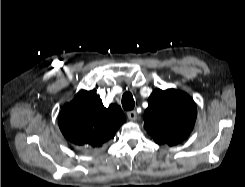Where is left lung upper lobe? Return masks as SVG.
<instances>
[{
	"instance_id": "1",
	"label": "left lung upper lobe",
	"mask_w": 245,
	"mask_h": 187,
	"mask_svg": "<svg viewBox=\"0 0 245 187\" xmlns=\"http://www.w3.org/2000/svg\"><path fill=\"white\" fill-rule=\"evenodd\" d=\"M144 113V128L157 144L174 146L192 131L197 109L193 99L175 89L153 91Z\"/></svg>"
}]
</instances>
